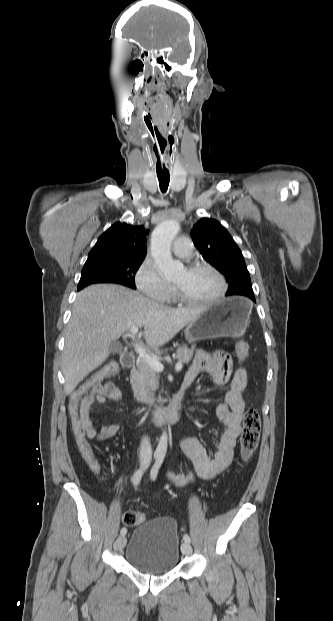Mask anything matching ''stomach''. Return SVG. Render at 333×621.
<instances>
[{
  "label": "stomach",
  "mask_w": 333,
  "mask_h": 621,
  "mask_svg": "<svg viewBox=\"0 0 333 621\" xmlns=\"http://www.w3.org/2000/svg\"><path fill=\"white\" fill-rule=\"evenodd\" d=\"M251 310L252 305L240 297L205 306L199 317L187 325L185 338L195 342L221 336H238L246 327Z\"/></svg>",
  "instance_id": "obj_1"
}]
</instances>
